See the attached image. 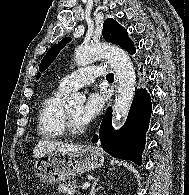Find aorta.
<instances>
[{
  "instance_id": "aorta-1",
  "label": "aorta",
  "mask_w": 189,
  "mask_h": 195,
  "mask_svg": "<svg viewBox=\"0 0 189 195\" xmlns=\"http://www.w3.org/2000/svg\"><path fill=\"white\" fill-rule=\"evenodd\" d=\"M106 58L114 69L119 88L113 106V127L120 129L129 113L135 94L136 75L132 62L124 50L110 44L79 46L75 50V62L79 66L93 63L97 59ZM86 97L81 93H74L68 99L70 105H83Z\"/></svg>"
}]
</instances>
